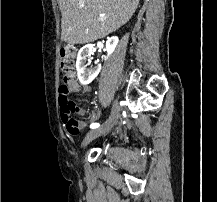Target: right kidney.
<instances>
[{
  "instance_id": "1",
  "label": "right kidney",
  "mask_w": 217,
  "mask_h": 202,
  "mask_svg": "<svg viewBox=\"0 0 217 202\" xmlns=\"http://www.w3.org/2000/svg\"><path fill=\"white\" fill-rule=\"evenodd\" d=\"M119 40L117 36H112V38H108L106 42V52L108 58L110 54H113ZM95 50L92 44H87V46H83L81 50L78 52L77 62H76V70L79 82L83 84V86H87V84H91L94 78L98 76L100 72V66L97 68H87L88 64L91 62V56L94 54Z\"/></svg>"
}]
</instances>
